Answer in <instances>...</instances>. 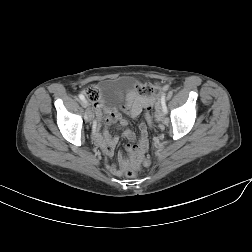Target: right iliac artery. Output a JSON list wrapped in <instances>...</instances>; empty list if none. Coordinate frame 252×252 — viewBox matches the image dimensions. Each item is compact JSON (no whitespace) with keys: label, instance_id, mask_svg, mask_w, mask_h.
<instances>
[{"label":"right iliac artery","instance_id":"82829eb1","mask_svg":"<svg viewBox=\"0 0 252 252\" xmlns=\"http://www.w3.org/2000/svg\"><path fill=\"white\" fill-rule=\"evenodd\" d=\"M79 98L83 101V102H86L85 101V97L80 94L79 95ZM98 123V120L97 119H94L93 122L91 123V125L89 126V131H90V134L91 135H95L96 134V131L94 130L96 128V125Z\"/></svg>","mask_w":252,"mask_h":252}]
</instances>
